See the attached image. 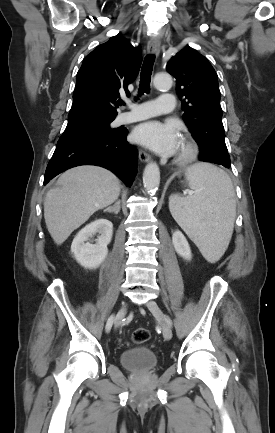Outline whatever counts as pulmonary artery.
<instances>
[{"label":"pulmonary artery","mask_w":275,"mask_h":433,"mask_svg":"<svg viewBox=\"0 0 275 433\" xmlns=\"http://www.w3.org/2000/svg\"><path fill=\"white\" fill-rule=\"evenodd\" d=\"M175 107V98L171 93H163L157 99L143 103L130 104L131 110L121 113L119 122L121 124L131 123L147 119L159 114H169Z\"/></svg>","instance_id":"obj_1"}]
</instances>
